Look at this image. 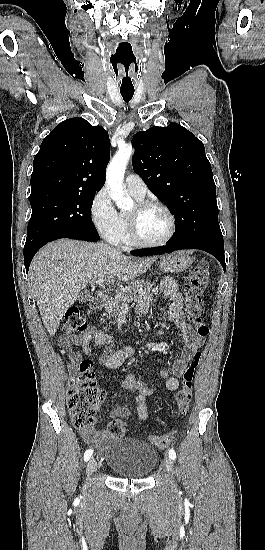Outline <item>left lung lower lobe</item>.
Listing matches in <instances>:
<instances>
[{"mask_svg":"<svg viewBox=\"0 0 265 550\" xmlns=\"http://www.w3.org/2000/svg\"><path fill=\"white\" fill-rule=\"evenodd\" d=\"M181 249H200V250H204V251L212 254L213 256H215L219 260V262L221 263L224 271L226 269L224 251L217 250V249H214V248H211V247H208V246H204V245L173 244V243L168 242L163 247L139 250L137 252L132 253V255L133 256L161 255V254H165V253H169V252H173L175 250H181Z\"/></svg>","mask_w":265,"mask_h":550,"instance_id":"1","label":"left lung lower lobe"}]
</instances>
